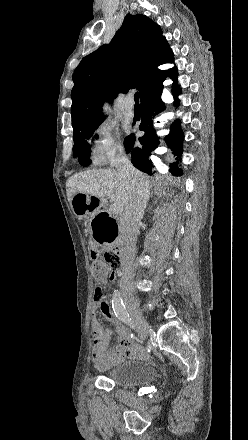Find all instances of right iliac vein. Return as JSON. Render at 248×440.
Returning a JSON list of instances; mask_svg holds the SVG:
<instances>
[{
	"label": "right iliac vein",
	"mask_w": 248,
	"mask_h": 440,
	"mask_svg": "<svg viewBox=\"0 0 248 440\" xmlns=\"http://www.w3.org/2000/svg\"><path fill=\"white\" fill-rule=\"evenodd\" d=\"M125 303L127 304L131 317L134 322V326L136 327L137 331L139 332V335L141 338H145L148 333V323L145 320V318L142 316L139 308L137 307L135 300L133 297H126Z\"/></svg>",
	"instance_id": "1"
}]
</instances>
